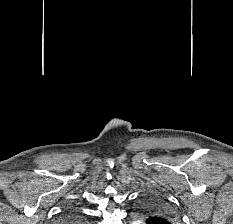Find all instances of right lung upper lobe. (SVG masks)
Wrapping results in <instances>:
<instances>
[{
    "mask_svg": "<svg viewBox=\"0 0 233 224\" xmlns=\"http://www.w3.org/2000/svg\"><path fill=\"white\" fill-rule=\"evenodd\" d=\"M62 222L64 224H81L84 222L77 214H67L64 216Z\"/></svg>",
    "mask_w": 233,
    "mask_h": 224,
    "instance_id": "1",
    "label": "right lung upper lobe"
}]
</instances>
